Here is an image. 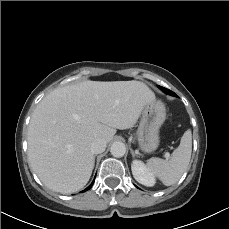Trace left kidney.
I'll use <instances>...</instances> for the list:
<instances>
[{"label": "left kidney", "instance_id": "1", "mask_svg": "<svg viewBox=\"0 0 229 229\" xmlns=\"http://www.w3.org/2000/svg\"><path fill=\"white\" fill-rule=\"evenodd\" d=\"M133 177L140 184L151 187L155 185V177L153 173L140 160H134L131 164Z\"/></svg>", "mask_w": 229, "mask_h": 229}]
</instances>
